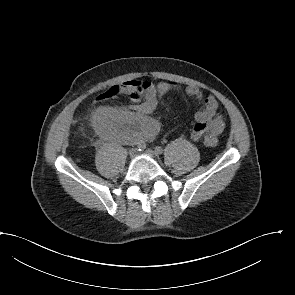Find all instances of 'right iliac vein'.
Instances as JSON below:
<instances>
[{
    "label": "right iliac vein",
    "instance_id": "63e3f726",
    "mask_svg": "<svg viewBox=\"0 0 295 295\" xmlns=\"http://www.w3.org/2000/svg\"><path fill=\"white\" fill-rule=\"evenodd\" d=\"M136 154V149L132 148L129 150L130 157H133Z\"/></svg>",
    "mask_w": 295,
    "mask_h": 295
}]
</instances>
